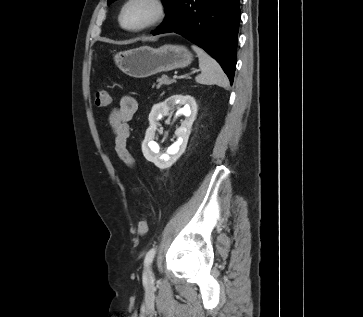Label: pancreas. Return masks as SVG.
Listing matches in <instances>:
<instances>
[{"label":"pancreas","mask_w":363,"mask_h":317,"mask_svg":"<svg viewBox=\"0 0 363 317\" xmlns=\"http://www.w3.org/2000/svg\"><path fill=\"white\" fill-rule=\"evenodd\" d=\"M174 80L169 79L167 76L163 75L161 78L157 79L158 85H170Z\"/></svg>","instance_id":"1"}]
</instances>
